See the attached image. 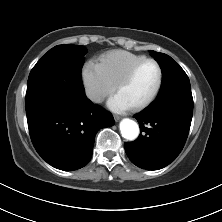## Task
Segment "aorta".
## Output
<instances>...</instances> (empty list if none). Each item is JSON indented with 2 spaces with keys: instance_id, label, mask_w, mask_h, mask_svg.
Segmentation results:
<instances>
[{
  "instance_id": "aorta-1",
  "label": "aorta",
  "mask_w": 222,
  "mask_h": 222,
  "mask_svg": "<svg viewBox=\"0 0 222 222\" xmlns=\"http://www.w3.org/2000/svg\"><path fill=\"white\" fill-rule=\"evenodd\" d=\"M120 131L123 138L133 141L139 135V126L135 121L125 118L120 122Z\"/></svg>"
}]
</instances>
